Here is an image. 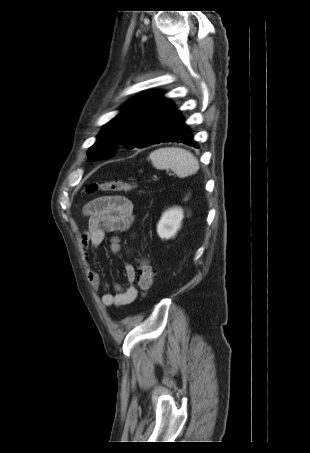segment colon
Masks as SVG:
<instances>
[{
    "label": "colon",
    "mask_w": 310,
    "mask_h": 453,
    "mask_svg": "<svg viewBox=\"0 0 310 453\" xmlns=\"http://www.w3.org/2000/svg\"><path fill=\"white\" fill-rule=\"evenodd\" d=\"M135 181L114 180L107 182H92L87 186L88 194L99 192H127L134 189ZM153 283V274L149 260L141 257L138 266L137 286L142 296H145L151 289Z\"/></svg>",
    "instance_id": "5ec220e1"
}]
</instances>
